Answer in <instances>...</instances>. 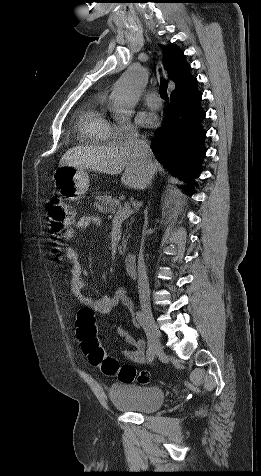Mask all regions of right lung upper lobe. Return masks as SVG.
<instances>
[{"instance_id": "cb5924a9", "label": "right lung upper lobe", "mask_w": 261, "mask_h": 476, "mask_svg": "<svg viewBox=\"0 0 261 476\" xmlns=\"http://www.w3.org/2000/svg\"><path fill=\"white\" fill-rule=\"evenodd\" d=\"M165 56V68L175 83V90L182 88L191 78L190 65L186 63L184 54L176 47L160 45ZM174 90V91H175Z\"/></svg>"}]
</instances>
